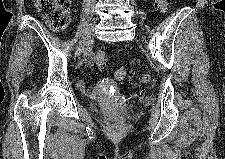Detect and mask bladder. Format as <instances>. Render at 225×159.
I'll use <instances>...</instances> for the list:
<instances>
[{"label":"bladder","mask_w":225,"mask_h":159,"mask_svg":"<svg viewBox=\"0 0 225 159\" xmlns=\"http://www.w3.org/2000/svg\"><path fill=\"white\" fill-rule=\"evenodd\" d=\"M91 108H92L93 110H97V109H98V105H97V104H91Z\"/></svg>","instance_id":"bladder-1"}]
</instances>
